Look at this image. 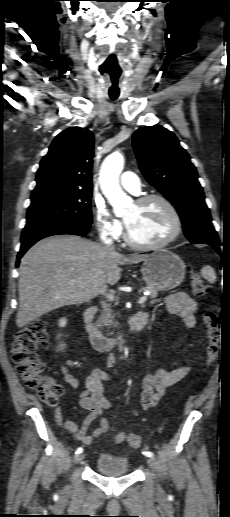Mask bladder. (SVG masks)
I'll use <instances>...</instances> for the list:
<instances>
[{
  "label": "bladder",
  "mask_w": 230,
  "mask_h": 517,
  "mask_svg": "<svg viewBox=\"0 0 230 517\" xmlns=\"http://www.w3.org/2000/svg\"><path fill=\"white\" fill-rule=\"evenodd\" d=\"M95 470L106 476H122L130 472L129 463L125 458L110 453H101L95 461Z\"/></svg>",
  "instance_id": "31cf9c89"
}]
</instances>
